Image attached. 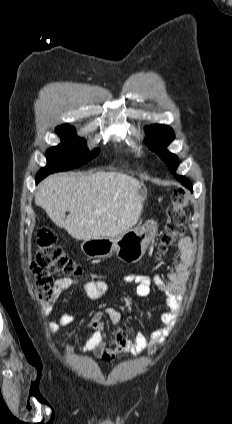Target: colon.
Returning <instances> with one entry per match:
<instances>
[{"label": "colon", "instance_id": "colon-1", "mask_svg": "<svg viewBox=\"0 0 232 424\" xmlns=\"http://www.w3.org/2000/svg\"><path fill=\"white\" fill-rule=\"evenodd\" d=\"M189 205L190 197L184 189L177 188L172 192L171 203L166 209L164 230L160 237L161 252H165L184 233ZM32 272L35 275V286L40 300L46 305H50L54 299L53 275L63 277L86 275L84 268L66 254L55 236L48 231H41L38 235Z\"/></svg>", "mask_w": 232, "mask_h": 424}]
</instances>
